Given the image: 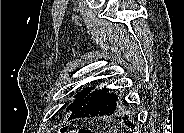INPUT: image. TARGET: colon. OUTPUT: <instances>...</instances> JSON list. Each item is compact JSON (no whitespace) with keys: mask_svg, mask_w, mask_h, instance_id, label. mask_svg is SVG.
<instances>
[{"mask_svg":"<svg viewBox=\"0 0 184 133\" xmlns=\"http://www.w3.org/2000/svg\"><path fill=\"white\" fill-rule=\"evenodd\" d=\"M59 132L60 133H91L92 131L87 130L85 128H76V129H73V130H69L66 127H62Z\"/></svg>","mask_w":184,"mask_h":133,"instance_id":"1","label":"colon"}]
</instances>
